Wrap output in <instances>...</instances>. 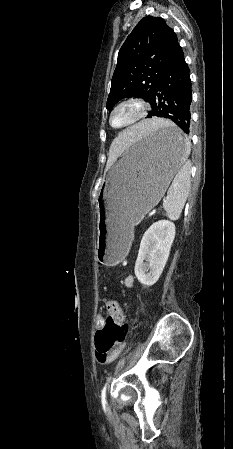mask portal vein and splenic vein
I'll list each match as a JSON object with an SVG mask.
<instances>
[{
	"instance_id": "18ae733b",
	"label": "portal vein and splenic vein",
	"mask_w": 233,
	"mask_h": 449,
	"mask_svg": "<svg viewBox=\"0 0 233 449\" xmlns=\"http://www.w3.org/2000/svg\"><path fill=\"white\" fill-rule=\"evenodd\" d=\"M156 211H157L156 209H153V210L150 212L149 215H150V216L154 215V214L156 213Z\"/></svg>"
}]
</instances>
